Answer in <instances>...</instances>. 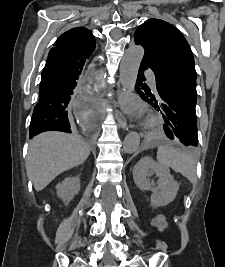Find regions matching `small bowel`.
I'll list each match as a JSON object with an SVG mask.
<instances>
[{
    "label": "small bowel",
    "mask_w": 225,
    "mask_h": 267,
    "mask_svg": "<svg viewBox=\"0 0 225 267\" xmlns=\"http://www.w3.org/2000/svg\"><path fill=\"white\" fill-rule=\"evenodd\" d=\"M151 224L160 231H163L167 228V221L161 216L154 217L151 220Z\"/></svg>",
    "instance_id": "c3829d8e"
}]
</instances>
